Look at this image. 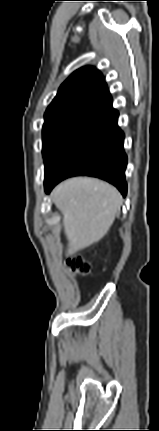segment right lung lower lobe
I'll list each match as a JSON object with an SVG mask.
<instances>
[{"instance_id":"right-lung-lower-lobe-1","label":"right lung lower lobe","mask_w":159,"mask_h":431,"mask_svg":"<svg viewBox=\"0 0 159 431\" xmlns=\"http://www.w3.org/2000/svg\"><path fill=\"white\" fill-rule=\"evenodd\" d=\"M118 115L115 109L108 111L85 123L61 143L45 166L46 193L65 178L88 175L108 181L126 196L127 156Z\"/></svg>"}]
</instances>
